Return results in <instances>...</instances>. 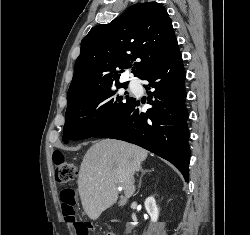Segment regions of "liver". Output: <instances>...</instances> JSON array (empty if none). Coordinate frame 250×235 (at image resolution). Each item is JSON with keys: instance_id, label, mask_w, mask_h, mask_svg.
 I'll return each instance as SVG.
<instances>
[{"instance_id": "6515ba94", "label": "liver", "mask_w": 250, "mask_h": 235, "mask_svg": "<svg viewBox=\"0 0 250 235\" xmlns=\"http://www.w3.org/2000/svg\"><path fill=\"white\" fill-rule=\"evenodd\" d=\"M147 156L143 148L119 140L105 139L90 147L80 166L78 190L91 220L117 202V186L125 193L122 204L133 195L134 174Z\"/></svg>"}]
</instances>
